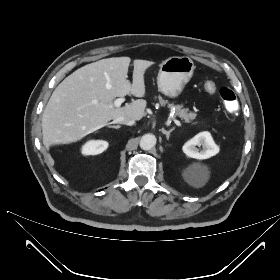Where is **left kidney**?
<instances>
[{
	"label": "left kidney",
	"instance_id": "obj_1",
	"mask_svg": "<svg viewBox=\"0 0 280 280\" xmlns=\"http://www.w3.org/2000/svg\"><path fill=\"white\" fill-rule=\"evenodd\" d=\"M196 146H202V150H199ZM182 149L187 156L199 160L208 159L219 152V147L207 131L195 135L183 145ZM204 178L205 173L201 169H196L188 176L189 182L193 185H201Z\"/></svg>",
	"mask_w": 280,
	"mask_h": 280
}]
</instances>
